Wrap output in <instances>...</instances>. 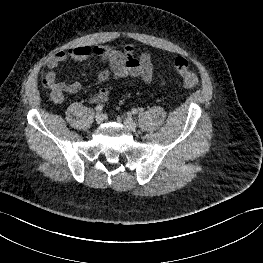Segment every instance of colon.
Masks as SVG:
<instances>
[{
	"mask_svg": "<svg viewBox=\"0 0 263 263\" xmlns=\"http://www.w3.org/2000/svg\"><path fill=\"white\" fill-rule=\"evenodd\" d=\"M172 65L179 76L182 78L184 85L193 88L198 84L196 73L190 68L188 61L183 57H178L172 61Z\"/></svg>",
	"mask_w": 263,
	"mask_h": 263,
	"instance_id": "colon-1",
	"label": "colon"
}]
</instances>
